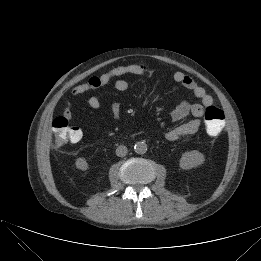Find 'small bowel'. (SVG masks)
I'll return each instance as SVG.
<instances>
[{"label": "small bowel", "mask_w": 261, "mask_h": 261, "mask_svg": "<svg viewBox=\"0 0 261 261\" xmlns=\"http://www.w3.org/2000/svg\"><path fill=\"white\" fill-rule=\"evenodd\" d=\"M152 73L150 66L146 64H130L116 67L101 75L92 76L86 82L76 85L72 89L73 95H82L92 92L100 87L106 86L114 81V86L118 91H126L129 87L128 82L123 78L126 75H148ZM172 78L175 82L182 85L185 89L191 91L199 100L198 103H189L183 101L171 111V118L174 121H180L189 115L193 118L182 123L165 133V138L169 141H176L184 136L195 134L201 125V118L204 115L206 107L212 105L213 98L206 90L198 85L196 81L183 72L177 71L173 73ZM88 105L95 110L102 107L101 101L95 95H91L87 100ZM110 110L113 118H118L121 113V107L117 102H112ZM63 117L68 121L73 119V113L70 109L63 110Z\"/></svg>", "instance_id": "obj_1"}]
</instances>
